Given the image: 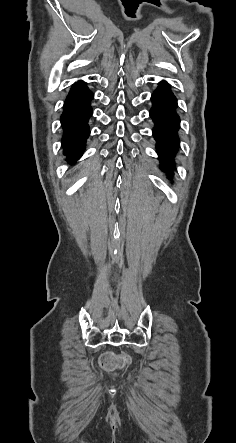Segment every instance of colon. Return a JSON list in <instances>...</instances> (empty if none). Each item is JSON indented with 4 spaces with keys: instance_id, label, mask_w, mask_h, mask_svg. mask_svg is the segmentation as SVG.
Wrapping results in <instances>:
<instances>
[{
    "instance_id": "1",
    "label": "colon",
    "mask_w": 236,
    "mask_h": 443,
    "mask_svg": "<svg viewBox=\"0 0 236 443\" xmlns=\"http://www.w3.org/2000/svg\"><path fill=\"white\" fill-rule=\"evenodd\" d=\"M132 357L128 354L115 356L111 353H106L101 357V365L107 370H113L117 367H123L130 364Z\"/></svg>"
}]
</instances>
